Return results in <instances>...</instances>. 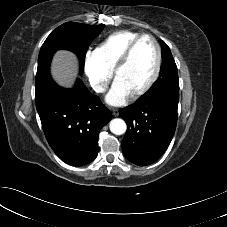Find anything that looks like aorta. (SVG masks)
<instances>
[{
  "label": "aorta",
  "mask_w": 227,
  "mask_h": 227,
  "mask_svg": "<svg viewBox=\"0 0 227 227\" xmlns=\"http://www.w3.org/2000/svg\"><path fill=\"white\" fill-rule=\"evenodd\" d=\"M110 131L115 135H122L126 132L127 126L124 120L116 118L110 121Z\"/></svg>",
  "instance_id": "obj_1"
}]
</instances>
